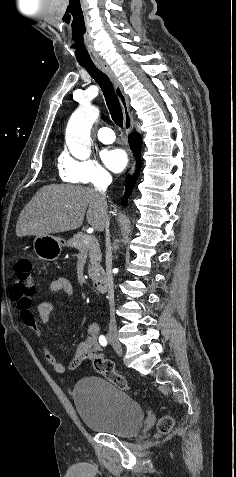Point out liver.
I'll use <instances>...</instances> for the list:
<instances>
[{
	"mask_svg": "<svg viewBox=\"0 0 236 477\" xmlns=\"http://www.w3.org/2000/svg\"><path fill=\"white\" fill-rule=\"evenodd\" d=\"M107 205L92 188L51 184L43 186L21 211L16 235L44 236L79 228L86 219L96 230H103Z\"/></svg>",
	"mask_w": 236,
	"mask_h": 477,
	"instance_id": "1",
	"label": "liver"
}]
</instances>
